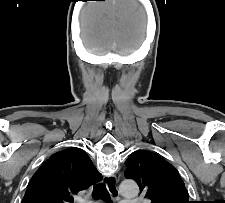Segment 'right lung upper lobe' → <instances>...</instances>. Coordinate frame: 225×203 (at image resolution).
<instances>
[{
    "mask_svg": "<svg viewBox=\"0 0 225 203\" xmlns=\"http://www.w3.org/2000/svg\"><path fill=\"white\" fill-rule=\"evenodd\" d=\"M102 180L79 148L54 153L31 178L22 203H73V196Z\"/></svg>",
    "mask_w": 225,
    "mask_h": 203,
    "instance_id": "right-lung-upper-lobe-1",
    "label": "right lung upper lobe"
}]
</instances>
